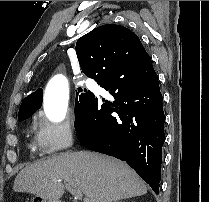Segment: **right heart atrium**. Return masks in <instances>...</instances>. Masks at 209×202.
<instances>
[{
	"label": "right heart atrium",
	"instance_id": "1",
	"mask_svg": "<svg viewBox=\"0 0 209 202\" xmlns=\"http://www.w3.org/2000/svg\"><path fill=\"white\" fill-rule=\"evenodd\" d=\"M75 127L70 120L51 122L45 117H40L35 133L38 149L43 153H58L69 147L74 142Z\"/></svg>",
	"mask_w": 209,
	"mask_h": 202
}]
</instances>
